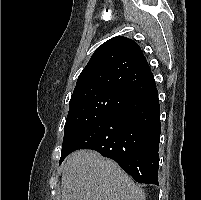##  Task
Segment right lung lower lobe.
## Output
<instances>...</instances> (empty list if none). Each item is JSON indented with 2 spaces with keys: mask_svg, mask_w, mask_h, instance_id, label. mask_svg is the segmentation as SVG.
<instances>
[{
  "mask_svg": "<svg viewBox=\"0 0 201 200\" xmlns=\"http://www.w3.org/2000/svg\"><path fill=\"white\" fill-rule=\"evenodd\" d=\"M160 132L155 86L85 127L67 144L66 152L96 150L115 160L135 181L158 185Z\"/></svg>",
  "mask_w": 201,
  "mask_h": 200,
  "instance_id": "1",
  "label": "right lung lower lobe"
}]
</instances>
